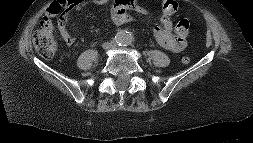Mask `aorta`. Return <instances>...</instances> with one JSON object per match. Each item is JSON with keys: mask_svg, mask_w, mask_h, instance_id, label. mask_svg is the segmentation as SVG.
Returning a JSON list of instances; mask_svg holds the SVG:
<instances>
[{"mask_svg": "<svg viewBox=\"0 0 253 143\" xmlns=\"http://www.w3.org/2000/svg\"><path fill=\"white\" fill-rule=\"evenodd\" d=\"M117 40L120 44L126 45L132 40V34L126 30H122L117 35Z\"/></svg>", "mask_w": 253, "mask_h": 143, "instance_id": "obj_1", "label": "aorta"}]
</instances>
